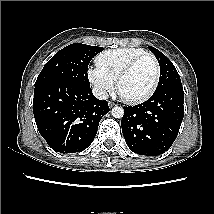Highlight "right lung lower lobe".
Returning <instances> with one entry per match:
<instances>
[{"instance_id":"98d812e1","label":"right lung lower lobe","mask_w":214,"mask_h":214,"mask_svg":"<svg viewBox=\"0 0 214 214\" xmlns=\"http://www.w3.org/2000/svg\"><path fill=\"white\" fill-rule=\"evenodd\" d=\"M108 102L93 96L90 86L48 81L35 86L33 113L48 145L61 153L85 150L93 141Z\"/></svg>"}]
</instances>
